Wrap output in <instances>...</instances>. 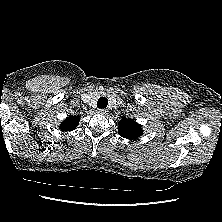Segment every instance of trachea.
<instances>
[{"instance_id": "3493384b", "label": "trachea", "mask_w": 222, "mask_h": 222, "mask_svg": "<svg viewBox=\"0 0 222 222\" xmlns=\"http://www.w3.org/2000/svg\"><path fill=\"white\" fill-rule=\"evenodd\" d=\"M108 105V100L106 97H100L97 102V107L106 108Z\"/></svg>"}]
</instances>
